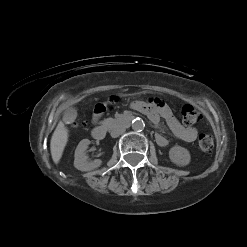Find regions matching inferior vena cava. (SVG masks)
Wrapping results in <instances>:
<instances>
[{"label":"inferior vena cava","instance_id":"1","mask_svg":"<svg viewBox=\"0 0 247 247\" xmlns=\"http://www.w3.org/2000/svg\"><path fill=\"white\" fill-rule=\"evenodd\" d=\"M124 132H125V127L115 126L111 129L110 135H111V137L116 138V137L120 136L121 134H123Z\"/></svg>","mask_w":247,"mask_h":247}]
</instances>
